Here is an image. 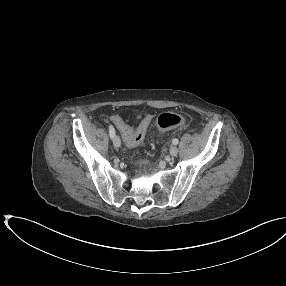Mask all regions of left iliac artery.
I'll list each match as a JSON object with an SVG mask.
<instances>
[{"instance_id": "left-iliac-artery-1", "label": "left iliac artery", "mask_w": 286, "mask_h": 286, "mask_svg": "<svg viewBox=\"0 0 286 286\" xmlns=\"http://www.w3.org/2000/svg\"><path fill=\"white\" fill-rule=\"evenodd\" d=\"M178 142H179V140H178V139H176V138L172 140V143H173L174 145H177V144H178Z\"/></svg>"}]
</instances>
